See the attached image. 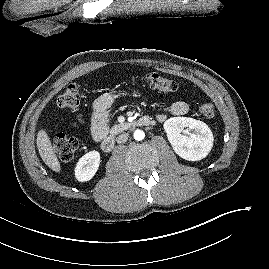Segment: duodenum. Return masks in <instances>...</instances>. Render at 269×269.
<instances>
[{"mask_svg":"<svg viewBox=\"0 0 269 269\" xmlns=\"http://www.w3.org/2000/svg\"><path fill=\"white\" fill-rule=\"evenodd\" d=\"M150 124H151V119L147 116L140 118L136 122V125L138 126H148ZM114 146H115V134L106 135L101 142V147L103 151L110 152L112 151Z\"/></svg>","mask_w":269,"mask_h":269,"instance_id":"obj_1","label":"duodenum"}]
</instances>
